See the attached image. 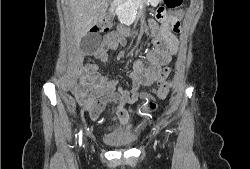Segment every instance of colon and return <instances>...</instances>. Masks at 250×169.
Instances as JSON below:
<instances>
[{
	"mask_svg": "<svg viewBox=\"0 0 250 169\" xmlns=\"http://www.w3.org/2000/svg\"><path fill=\"white\" fill-rule=\"evenodd\" d=\"M162 1H163V3H165L166 8H168V9H175V8H178V7H180L182 5V0H162ZM174 28H175V30H178V24L177 23L174 26ZM108 30H109V25L108 24L96 25V26H93L91 28V33H92V35L94 37H96L99 34L107 32ZM89 45H90V47L95 48L97 43H96V41L94 39H92L89 42ZM147 106L150 107V108H155L156 105H155V103H150ZM146 112L150 113L151 111L147 110Z\"/></svg>",
	"mask_w": 250,
	"mask_h": 169,
	"instance_id": "5ec220e1",
	"label": "colon"
}]
</instances>
